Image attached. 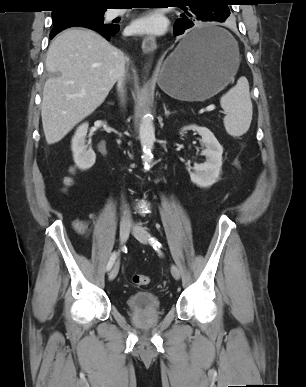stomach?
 I'll use <instances>...</instances> for the list:
<instances>
[{"mask_svg":"<svg viewBox=\"0 0 306 387\" xmlns=\"http://www.w3.org/2000/svg\"><path fill=\"white\" fill-rule=\"evenodd\" d=\"M213 29L224 37L192 51L183 41L167 57L158 76L160 88L185 101H204L221 91L236 75L240 58L236 41L215 24H202L191 32Z\"/></svg>","mask_w":306,"mask_h":387,"instance_id":"1","label":"stomach"}]
</instances>
